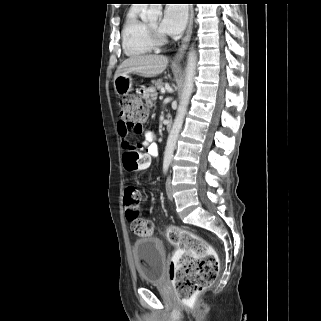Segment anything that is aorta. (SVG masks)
Here are the masks:
<instances>
[{
	"label": "aorta",
	"mask_w": 321,
	"mask_h": 321,
	"mask_svg": "<svg viewBox=\"0 0 321 321\" xmlns=\"http://www.w3.org/2000/svg\"><path fill=\"white\" fill-rule=\"evenodd\" d=\"M162 16V6L161 4H150L146 12V17L148 19H157ZM196 65H197V54L193 47H191L186 67V77L185 83L181 95L180 104L177 110V115L175 117L172 129L169 133L167 144L164 153V163L170 164L173 159L174 149L176 147L177 139L180 130L183 125L184 117L187 112L189 100L194 89V77L196 75Z\"/></svg>",
	"instance_id": "aorta-1"
}]
</instances>
